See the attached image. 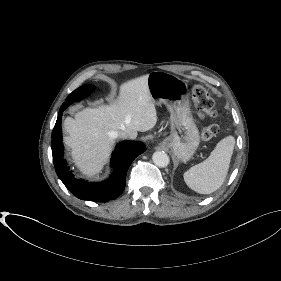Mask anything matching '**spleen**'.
I'll use <instances>...</instances> for the list:
<instances>
[{
    "label": "spleen",
    "mask_w": 281,
    "mask_h": 281,
    "mask_svg": "<svg viewBox=\"0 0 281 281\" xmlns=\"http://www.w3.org/2000/svg\"><path fill=\"white\" fill-rule=\"evenodd\" d=\"M234 145L232 136L218 142L206 160L184 173L185 183L200 194H210L219 189L227 176Z\"/></svg>",
    "instance_id": "obj_1"
}]
</instances>
